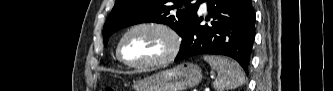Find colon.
<instances>
[{"label":"colon","instance_id":"5ec220e1","mask_svg":"<svg viewBox=\"0 0 333 91\" xmlns=\"http://www.w3.org/2000/svg\"><path fill=\"white\" fill-rule=\"evenodd\" d=\"M117 89H116V87L115 86H107L106 88H105V91H116Z\"/></svg>","mask_w":333,"mask_h":91}]
</instances>
